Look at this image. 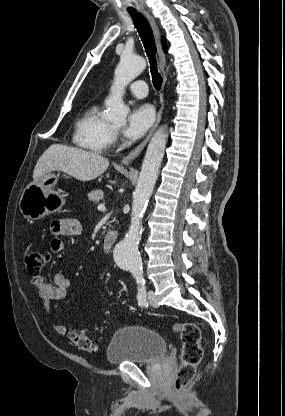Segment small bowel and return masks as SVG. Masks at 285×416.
I'll list each match as a JSON object with an SVG mask.
<instances>
[{
	"mask_svg": "<svg viewBox=\"0 0 285 416\" xmlns=\"http://www.w3.org/2000/svg\"><path fill=\"white\" fill-rule=\"evenodd\" d=\"M82 231V224L77 218L63 217L52 222L50 232L53 238L50 242V250L54 254L64 250V243L61 237L78 235ZM31 283L38 291L46 312L50 317V323L55 332L59 335H66L69 331L65 326L57 323L50 315L51 303L61 300L66 296L70 287V280L62 273H57L53 277L52 283L46 281L42 275L33 276Z\"/></svg>",
	"mask_w": 285,
	"mask_h": 416,
	"instance_id": "c3829d8e",
	"label": "small bowel"
}]
</instances>
